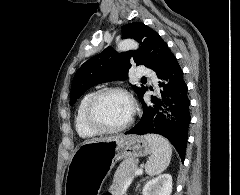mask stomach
I'll return each mask as SVG.
<instances>
[{"instance_id": "obj_1", "label": "stomach", "mask_w": 240, "mask_h": 195, "mask_svg": "<svg viewBox=\"0 0 240 195\" xmlns=\"http://www.w3.org/2000/svg\"><path fill=\"white\" fill-rule=\"evenodd\" d=\"M151 153L145 135H112L109 139H86L76 147L68 165L65 195H99L112 167L119 159H136Z\"/></svg>"}]
</instances>
